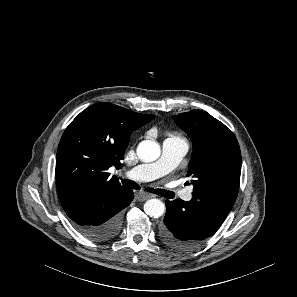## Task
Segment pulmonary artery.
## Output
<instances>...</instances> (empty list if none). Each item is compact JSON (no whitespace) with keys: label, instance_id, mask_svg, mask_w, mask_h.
Returning <instances> with one entry per match:
<instances>
[{"label":"pulmonary artery","instance_id":"e3ab8cb5","mask_svg":"<svg viewBox=\"0 0 297 297\" xmlns=\"http://www.w3.org/2000/svg\"><path fill=\"white\" fill-rule=\"evenodd\" d=\"M188 148V142L183 138H167L163 142L162 153L157 161L135 166L127 172V176L139 181L153 180L163 176L179 165ZM179 195L188 201L192 197L191 189L183 190Z\"/></svg>","mask_w":297,"mask_h":297}]
</instances>
